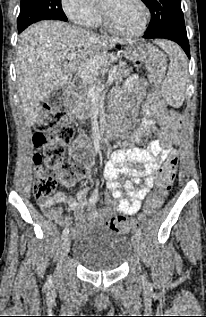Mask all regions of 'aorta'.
<instances>
[{
  "instance_id": "762f6f07",
  "label": "aorta",
  "mask_w": 206,
  "mask_h": 317,
  "mask_svg": "<svg viewBox=\"0 0 206 317\" xmlns=\"http://www.w3.org/2000/svg\"><path fill=\"white\" fill-rule=\"evenodd\" d=\"M87 1L90 2V3H93V2H95L97 0H87Z\"/></svg>"
}]
</instances>
